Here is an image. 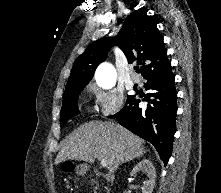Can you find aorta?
Returning <instances> with one entry per match:
<instances>
[{
  "mask_svg": "<svg viewBox=\"0 0 221 193\" xmlns=\"http://www.w3.org/2000/svg\"><path fill=\"white\" fill-rule=\"evenodd\" d=\"M116 79L115 69L110 64H102L97 70L98 84L103 88H111Z\"/></svg>",
  "mask_w": 221,
  "mask_h": 193,
  "instance_id": "aorta-1",
  "label": "aorta"
}]
</instances>
